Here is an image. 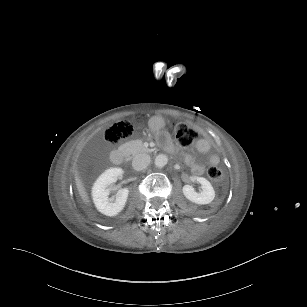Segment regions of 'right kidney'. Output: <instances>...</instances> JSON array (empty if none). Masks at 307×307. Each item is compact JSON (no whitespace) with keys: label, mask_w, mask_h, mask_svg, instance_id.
Instances as JSON below:
<instances>
[{"label":"right kidney","mask_w":307,"mask_h":307,"mask_svg":"<svg viewBox=\"0 0 307 307\" xmlns=\"http://www.w3.org/2000/svg\"><path fill=\"white\" fill-rule=\"evenodd\" d=\"M122 173L121 168L108 169L97 179L93 186L92 196L95 206L99 212L106 216H117L126 206L129 196L128 188L120 189L115 201L109 199L110 186L117 182Z\"/></svg>","instance_id":"right-kidney-1"}]
</instances>
